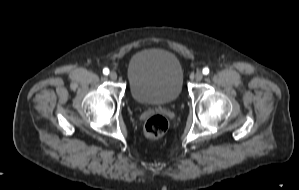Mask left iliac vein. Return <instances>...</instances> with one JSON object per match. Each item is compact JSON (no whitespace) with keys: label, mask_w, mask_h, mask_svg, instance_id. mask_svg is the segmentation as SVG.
I'll return each instance as SVG.
<instances>
[{"label":"left iliac vein","mask_w":299,"mask_h":190,"mask_svg":"<svg viewBox=\"0 0 299 190\" xmlns=\"http://www.w3.org/2000/svg\"><path fill=\"white\" fill-rule=\"evenodd\" d=\"M203 78V73L201 71L196 72L195 79L196 81H201Z\"/></svg>","instance_id":"1"}]
</instances>
